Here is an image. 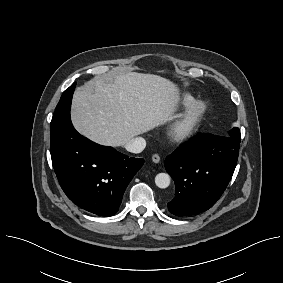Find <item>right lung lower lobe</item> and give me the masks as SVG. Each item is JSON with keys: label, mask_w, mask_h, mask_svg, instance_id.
<instances>
[{"label": "right lung lower lobe", "mask_w": 283, "mask_h": 283, "mask_svg": "<svg viewBox=\"0 0 283 283\" xmlns=\"http://www.w3.org/2000/svg\"><path fill=\"white\" fill-rule=\"evenodd\" d=\"M75 85L63 92L51 120L52 164L72 202L91 213L111 216L118 211L126 187L144 160L96 144L74 129L70 107Z\"/></svg>", "instance_id": "right-lung-lower-lobe-1"}]
</instances>
